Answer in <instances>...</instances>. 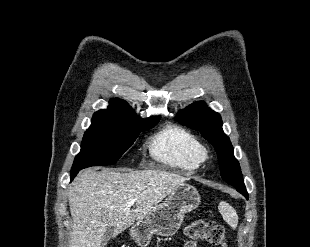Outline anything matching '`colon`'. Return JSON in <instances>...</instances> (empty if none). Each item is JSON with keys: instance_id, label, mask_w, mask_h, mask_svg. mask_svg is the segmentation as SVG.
Instances as JSON below:
<instances>
[{"instance_id": "1", "label": "colon", "mask_w": 310, "mask_h": 247, "mask_svg": "<svg viewBox=\"0 0 310 247\" xmlns=\"http://www.w3.org/2000/svg\"><path fill=\"white\" fill-rule=\"evenodd\" d=\"M185 236L183 247H196L200 240L220 247L228 246L224 227L214 221L195 220L186 228Z\"/></svg>"}]
</instances>
